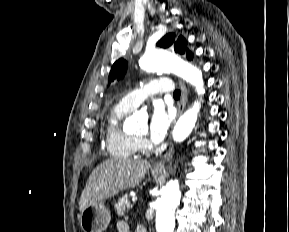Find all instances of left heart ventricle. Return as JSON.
Listing matches in <instances>:
<instances>
[{
    "instance_id": "b2bd125f",
    "label": "left heart ventricle",
    "mask_w": 289,
    "mask_h": 232,
    "mask_svg": "<svg viewBox=\"0 0 289 232\" xmlns=\"http://www.w3.org/2000/svg\"><path fill=\"white\" fill-rule=\"evenodd\" d=\"M146 130H147V127H146V126H144V127H143V129H142V131H141V133H140V136H143V135H145V133H146Z\"/></svg>"
}]
</instances>
